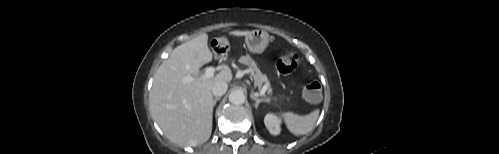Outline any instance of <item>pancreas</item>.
Instances as JSON below:
<instances>
[{
  "mask_svg": "<svg viewBox=\"0 0 499 154\" xmlns=\"http://www.w3.org/2000/svg\"><path fill=\"white\" fill-rule=\"evenodd\" d=\"M239 62L248 67V71L258 87H262L264 84L267 88L268 93H272V88L270 87V82L267 79V76L261 73L255 61L250 57V55L242 56L239 59Z\"/></svg>",
  "mask_w": 499,
  "mask_h": 154,
  "instance_id": "pancreas-1",
  "label": "pancreas"
}]
</instances>
